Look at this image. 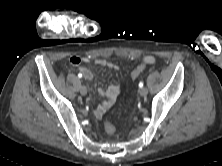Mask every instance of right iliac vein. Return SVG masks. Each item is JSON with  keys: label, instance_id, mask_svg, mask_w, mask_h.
Instances as JSON below:
<instances>
[{"label": "right iliac vein", "instance_id": "1", "mask_svg": "<svg viewBox=\"0 0 222 166\" xmlns=\"http://www.w3.org/2000/svg\"><path fill=\"white\" fill-rule=\"evenodd\" d=\"M80 93L85 96L87 94V87L86 86H81L80 87Z\"/></svg>", "mask_w": 222, "mask_h": 166}]
</instances>
